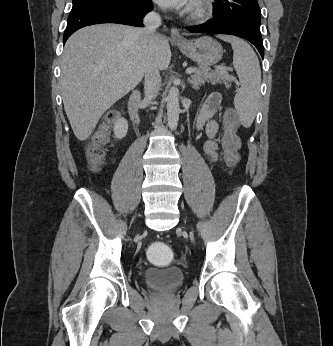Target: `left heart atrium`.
Returning a JSON list of instances; mask_svg holds the SVG:
<instances>
[{
  "label": "left heart atrium",
  "instance_id": "1",
  "mask_svg": "<svg viewBox=\"0 0 333 346\" xmlns=\"http://www.w3.org/2000/svg\"><path fill=\"white\" fill-rule=\"evenodd\" d=\"M159 5L168 8H185L189 6L191 0H155Z\"/></svg>",
  "mask_w": 333,
  "mask_h": 346
}]
</instances>
